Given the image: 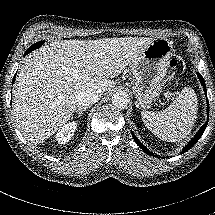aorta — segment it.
Listing matches in <instances>:
<instances>
[{
  "instance_id": "aorta-1",
  "label": "aorta",
  "mask_w": 215,
  "mask_h": 215,
  "mask_svg": "<svg viewBox=\"0 0 215 215\" xmlns=\"http://www.w3.org/2000/svg\"><path fill=\"white\" fill-rule=\"evenodd\" d=\"M112 105L117 108L124 109L128 106L130 99L129 96L125 92H116L112 96Z\"/></svg>"
}]
</instances>
